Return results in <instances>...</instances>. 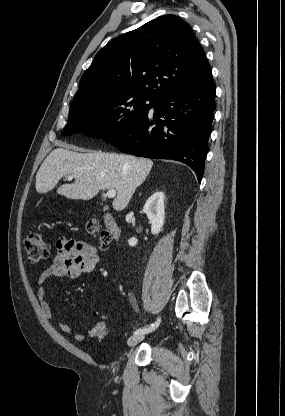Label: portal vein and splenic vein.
<instances>
[{
    "label": "portal vein and splenic vein",
    "mask_w": 285,
    "mask_h": 416,
    "mask_svg": "<svg viewBox=\"0 0 285 416\" xmlns=\"http://www.w3.org/2000/svg\"><path fill=\"white\" fill-rule=\"evenodd\" d=\"M68 180H73V176H69ZM106 196H108V198H115L116 190H108Z\"/></svg>",
    "instance_id": "obj_1"
}]
</instances>
